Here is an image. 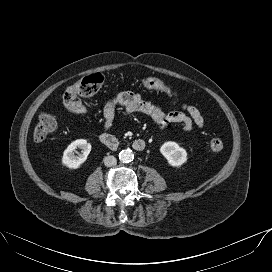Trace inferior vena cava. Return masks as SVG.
<instances>
[{"label": "inferior vena cava", "mask_w": 272, "mask_h": 272, "mask_svg": "<svg viewBox=\"0 0 272 272\" xmlns=\"http://www.w3.org/2000/svg\"><path fill=\"white\" fill-rule=\"evenodd\" d=\"M116 163H117V160H116V158L114 156H106L104 158V164L107 167L115 166Z\"/></svg>", "instance_id": "602c4592"}]
</instances>
